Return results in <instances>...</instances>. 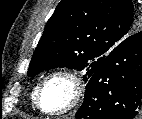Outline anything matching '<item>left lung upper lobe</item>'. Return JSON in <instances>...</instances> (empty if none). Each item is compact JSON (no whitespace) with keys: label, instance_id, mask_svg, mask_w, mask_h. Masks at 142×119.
Segmentation results:
<instances>
[{"label":"left lung upper lobe","instance_id":"obj_1","mask_svg":"<svg viewBox=\"0 0 142 119\" xmlns=\"http://www.w3.org/2000/svg\"><path fill=\"white\" fill-rule=\"evenodd\" d=\"M131 0H61L31 59L28 76L67 67L84 71L88 82L121 41L138 32Z\"/></svg>","mask_w":142,"mask_h":119}]
</instances>
